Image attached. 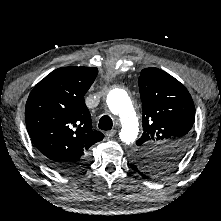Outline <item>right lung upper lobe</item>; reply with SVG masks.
Here are the masks:
<instances>
[{"instance_id": "obj_1", "label": "right lung upper lobe", "mask_w": 221, "mask_h": 221, "mask_svg": "<svg viewBox=\"0 0 221 221\" xmlns=\"http://www.w3.org/2000/svg\"><path fill=\"white\" fill-rule=\"evenodd\" d=\"M97 68L62 67L31 91L25 108L28 133L45 160L77 162L104 135L93 130L84 95L97 76Z\"/></svg>"}]
</instances>
